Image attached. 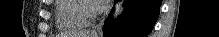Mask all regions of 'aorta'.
Wrapping results in <instances>:
<instances>
[{"label":"aorta","mask_w":219,"mask_h":37,"mask_svg":"<svg viewBox=\"0 0 219 37\" xmlns=\"http://www.w3.org/2000/svg\"><path fill=\"white\" fill-rule=\"evenodd\" d=\"M124 0H120L116 3V8H115V12L113 15V18L116 19L117 17H119L121 15V13L124 10Z\"/></svg>","instance_id":"obj_1"}]
</instances>
